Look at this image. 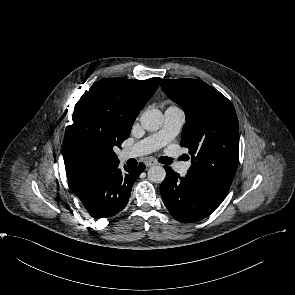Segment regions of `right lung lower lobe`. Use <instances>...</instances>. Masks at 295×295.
Masks as SVG:
<instances>
[{
  "label": "right lung lower lobe",
  "mask_w": 295,
  "mask_h": 295,
  "mask_svg": "<svg viewBox=\"0 0 295 295\" xmlns=\"http://www.w3.org/2000/svg\"><path fill=\"white\" fill-rule=\"evenodd\" d=\"M119 161L90 171L72 191L95 219L111 217L128 203L132 186L145 165L118 168Z\"/></svg>",
  "instance_id": "right-lung-lower-lobe-1"
}]
</instances>
